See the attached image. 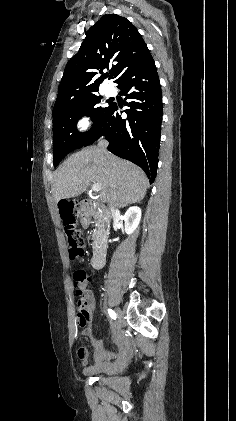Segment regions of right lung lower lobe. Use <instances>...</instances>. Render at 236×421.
I'll list each match as a JSON object with an SVG mask.
<instances>
[{"instance_id": "98d812e1", "label": "right lung lower lobe", "mask_w": 236, "mask_h": 421, "mask_svg": "<svg viewBox=\"0 0 236 421\" xmlns=\"http://www.w3.org/2000/svg\"><path fill=\"white\" fill-rule=\"evenodd\" d=\"M115 83L128 100L127 118H121L117 103L112 102L102 125L82 147L103 135L109 141L110 152L140 166L153 183L159 161L163 109L161 86L151 54L126 69Z\"/></svg>"}]
</instances>
